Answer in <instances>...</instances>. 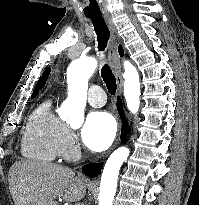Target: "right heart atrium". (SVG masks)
<instances>
[{"instance_id": "1", "label": "right heart atrium", "mask_w": 199, "mask_h": 205, "mask_svg": "<svg viewBox=\"0 0 199 205\" xmlns=\"http://www.w3.org/2000/svg\"><path fill=\"white\" fill-rule=\"evenodd\" d=\"M78 153V142L75 133L69 129L65 128L60 143V155L64 158L71 159L74 158Z\"/></svg>"}]
</instances>
